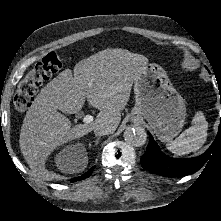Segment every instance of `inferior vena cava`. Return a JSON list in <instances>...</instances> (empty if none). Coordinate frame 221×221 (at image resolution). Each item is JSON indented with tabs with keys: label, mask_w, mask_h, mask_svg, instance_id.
Wrapping results in <instances>:
<instances>
[{
	"label": "inferior vena cava",
	"mask_w": 221,
	"mask_h": 221,
	"mask_svg": "<svg viewBox=\"0 0 221 221\" xmlns=\"http://www.w3.org/2000/svg\"><path fill=\"white\" fill-rule=\"evenodd\" d=\"M113 128L111 126L98 125L94 128V133L96 136H103L113 133Z\"/></svg>",
	"instance_id": "obj_1"
}]
</instances>
